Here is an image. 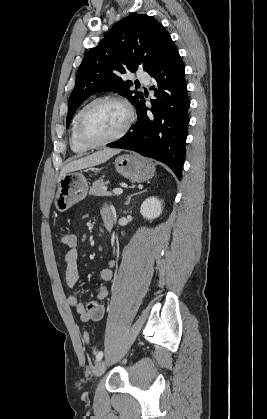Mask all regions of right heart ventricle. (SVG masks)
Wrapping results in <instances>:
<instances>
[{"label": "right heart ventricle", "instance_id": "1", "mask_svg": "<svg viewBox=\"0 0 267 419\" xmlns=\"http://www.w3.org/2000/svg\"><path fill=\"white\" fill-rule=\"evenodd\" d=\"M78 113H76V115L73 118L72 121V127H71V137H70V145H71V149L75 152V153H85L87 152L90 148L82 145L79 140L77 139L76 136V122H77V118H78Z\"/></svg>", "mask_w": 267, "mask_h": 419}]
</instances>
